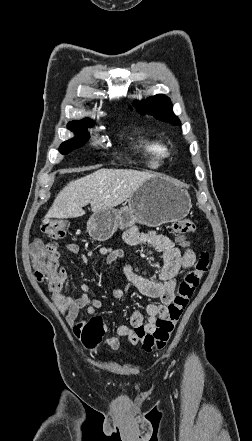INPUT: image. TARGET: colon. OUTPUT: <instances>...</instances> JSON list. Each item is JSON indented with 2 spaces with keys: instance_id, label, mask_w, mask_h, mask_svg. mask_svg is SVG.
<instances>
[{
  "instance_id": "colon-1",
  "label": "colon",
  "mask_w": 252,
  "mask_h": 441,
  "mask_svg": "<svg viewBox=\"0 0 252 441\" xmlns=\"http://www.w3.org/2000/svg\"><path fill=\"white\" fill-rule=\"evenodd\" d=\"M67 227L68 223L61 219L48 220L43 224L42 230L51 238V241L45 244L36 243L31 251L34 273L39 281H57L59 276L55 258V254L58 252L57 241L64 237ZM195 230V223L191 219L177 221L172 227L173 233L182 242H185L186 237L194 233ZM209 266L210 255L207 252H202L194 267L178 285L177 292L167 307L166 315L156 319L154 330L147 332L143 327L136 328L135 334L144 351L161 350L166 346L183 310L188 305ZM106 328L102 317H92L81 332L80 337L83 344L89 349L96 347Z\"/></svg>"
}]
</instances>
